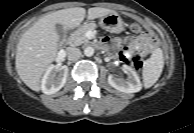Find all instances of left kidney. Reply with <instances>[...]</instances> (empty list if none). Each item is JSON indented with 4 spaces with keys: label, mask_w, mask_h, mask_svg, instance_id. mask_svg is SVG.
Returning <instances> with one entry per match:
<instances>
[{
    "label": "left kidney",
    "mask_w": 194,
    "mask_h": 133,
    "mask_svg": "<svg viewBox=\"0 0 194 133\" xmlns=\"http://www.w3.org/2000/svg\"><path fill=\"white\" fill-rule=\"evenodd\" d=\"M122 70L127 74V79L117 78L114 75L108 76V83L115 89L124 93H135L139 92L142 88L139 76L136 71L128 66L123 65Z\"/></svg>",
    "instance_id": "left-kidney-1"
}]
</instances>
